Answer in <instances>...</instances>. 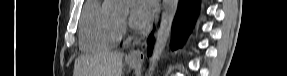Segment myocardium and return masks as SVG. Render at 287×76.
Instances as JSON below:
<instances>
[{"label":"myocardium","mask_w":287,"mask_h":76,"mask_svg":"<svg viewBox=\"0 0 287 76\" xmlns=\"http://www.w3.org/2000/svg\"><path fill=\"white\" fill-rule=\"evenodd\" d=\"M116 19H117V22L120 25V27L125 25V20H122V19L118 18L117 16H116Z\"/></svg>","instance_id":"f54148a6"}]
</instances>
